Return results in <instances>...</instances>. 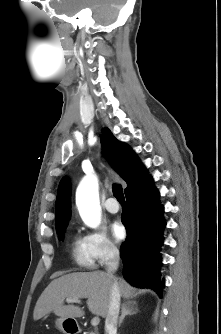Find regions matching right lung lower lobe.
I'll return each instance as SVG.
<instances>
[{"label": "right lung lower lobe", "mask_w": 221, "mask_h": 334, "mask_svg": "<svg viewBox=\"0 0 221 334\" xmlns=\"http://www.w3.org/2000/svg\"><path fill=\"white\" fill-rule=\"evenodd\" d=\"M127 209L122 223L127 238L121 245L123 275L132 285L151 288L162 297L164 280H160L163 244V229L166 222L162 217L164 207L159 203V192L148 177L136 188L125 193Z\"/></svg>", "instance_id": "right-lung-lower-lobe-1"}]
</instances>
